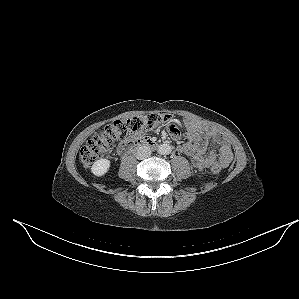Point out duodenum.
I'll list each match as a JSON object with an SVG mask.
<instances>
[{
  "label": "duodenum",
  "mask_w": 299,
  "mask_h": 299,
  "mask_svg": "<svg viewBox=\"0 0 299 299\" xmlns=\"http://www.w3.org/2000/svg\"><path fill=\"white\" fill-rule=\"evenodd\" d=\"M158 143L150 138H136L132 141H130L126 146L122 148L123 153H127L133 150H136L138 148L142 147H149V148H155L157 147Z\"/></svg>",
  "instance_id": "410a0bca"
}]
</instances>
